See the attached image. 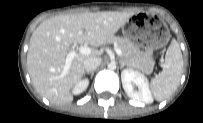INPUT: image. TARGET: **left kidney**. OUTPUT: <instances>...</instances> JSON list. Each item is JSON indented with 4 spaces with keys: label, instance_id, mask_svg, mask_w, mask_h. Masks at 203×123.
I'll use <instances>...</instances> for the list:
<instances>
[{
    "label": "left kidney",
    "instance_id": "5707ae66",
    "mask_svg": "<svg viewBox=\"0 0 203 123\" xmlns=\"http://www.w3.org/2000/svg\"><path fill=\"white\" fill-rule=\"evenodd\" d=\"M122 86L126 94L133 100L146 104L153 102L148 79L140 72L127 68L121 72ZM137 86V90L134 89Z\"/></svg>",
    "mask_w": 203,
    "mask_h": 123
}]
</instances>
